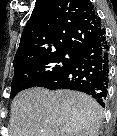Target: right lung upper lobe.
Listing matches in <instances>:
<instances>
[{
  "mask_svg": "<svg viewBox=\"0 0 117 136\" xmlns=\"http://www.w3.org/2000/svg\"><path fill=\"white\" fill-rule=\"evenodd\" d=\"M101 28L88 0H37L22 32L14 69L62 51L76 53Z\"/></svg>",
  "mask_w": 117,
  "mask_h": 136,
  "instance_id": "obj_1",
  "label": "right lung upper lobe"
}]
</instances>
